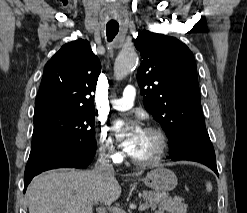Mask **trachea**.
Instances as JSON below:
<instances>
[{"label": "trachea", "mask_w": 247, "mask_h": 213, "mask_svg": "<svg viewBox=\"0 0 247 213\" xmlns=\"http://www.w3.org/2000/svg\"><path fill=\"white\" fill-rule=\"evenodd\" d=\"M119 31V25L117 23H108L106 25V34L108 42H111Z\"/></svg>", "instance_id": "3493384b"}]
</instances>
